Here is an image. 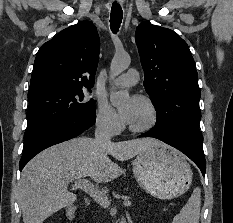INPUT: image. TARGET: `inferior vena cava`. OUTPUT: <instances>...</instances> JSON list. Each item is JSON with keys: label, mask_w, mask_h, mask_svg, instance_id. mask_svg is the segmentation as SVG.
<instances>
[{"label": "inferior vena cava", "mask_w": 233, "mask_h": 223, "mask_svg": "<svg viewBox=\"0 0 233 223\" xmlns=\"http://www.w3.org/2000/svg\"><path fill=\"white\" fill-rule=\"evenodd\" d=\"M117 123L116 119H110V117H99L97 119L95 129V143L97 147L111 143V137Z\"/></svg>", "instance_id": "1"}]
</instances>
